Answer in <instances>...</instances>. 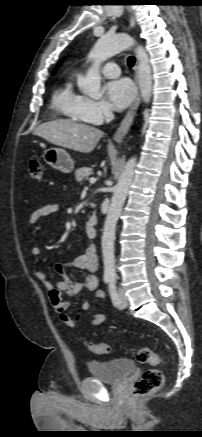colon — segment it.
Masks as SVG:
<instances>
[{
  "label": "colon",
  "mask_w": 202,
  "mask_h": 437,
  "mask_svg": "<svg viewBox=\"0 0 202 437\" xmlns=\"http://www.w3.org/2000/svg\"><path fill=\"white\" fill-rule=\"evenodd\" d=\"M29 176L34 180H42L44 176L43 165L38 160H32L29 164ZM87 347L95 354L102 355L111 351L107 343H87ZM135 356L139 363L156 366L160 363V357L149 347H140L135 350ZM164 383V375L158 369L146 370L140 380L133 387V396L143 397L159 390Z\"/></svg>",
  "instance_id": "5ec220e1"
}]
</instances>
